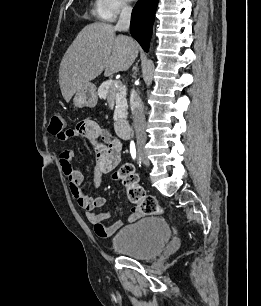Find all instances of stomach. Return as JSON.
Returning a JSON list of instances; mask_svg holds the SVG:
<instances>
[{
    "label": "stomach",
    "mask_w": 261,
    "mask_h": 306,
    "mask_svg": "<svg viewBox=\"0 0 261 306\" xmlns=\"http://www.w3.org/2000/svg\"><path fill=\"white\" fill-rule=\"evenodd\" d=\"M98 101L96 87L92 83L84 84L74 95L73 104L77 108L95 107Z\"/></svg>",
    "instance_id": "1"
}]
</instances>
